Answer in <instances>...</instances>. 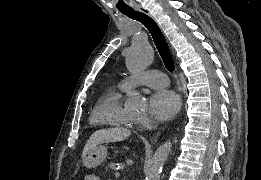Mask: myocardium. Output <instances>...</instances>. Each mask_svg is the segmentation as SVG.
<instances>
[{
    "mask_svg": "<svg viewBox=\"0 0 261 180\" xmlns=\"http://www.w3.org/2000/svg\"><path fill=\"white\" fill-rule=\"evenodd\" d=\"M118 124L121 128L128 130H136L140 124V121H130L127 120L124 116L123 110H121L118 114Z\"/></svg>",
    "mask_w": 261,
    "mask_h": 180,
    "instance_id": "1",
    "label": "myocardium"
}]
</instances>
